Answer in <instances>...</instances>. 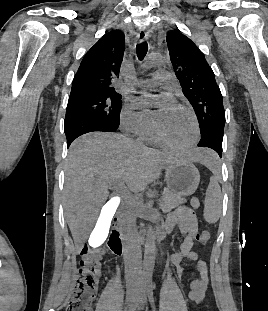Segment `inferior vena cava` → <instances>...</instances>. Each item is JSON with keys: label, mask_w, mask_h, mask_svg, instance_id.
I'll return each instance as SVG.
<instances>
[{"label": "inferior vena cava", "mask_w": 268, "mask_h": 311, "mask_svg": "<svg viewBox=\"0 0 268 311\" xmlns=\"http://www.w3.org/2000/svg\"><path fill=\"white\" fill-rule=\"evenodd\" d=\"M125 246L124 263L127 269L135 268L133 278L127 274L128 286H138L141 277V251L138 247V232L136 227V216L132 210L125 215Z\"/></svg>", "instance_id": "inferior-vena-cava-1"}]
</instances>
